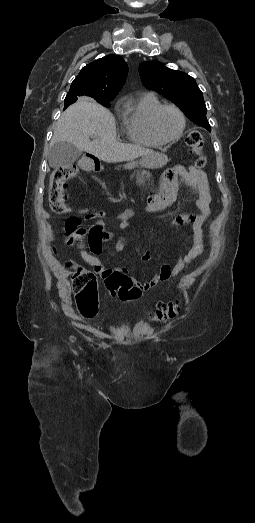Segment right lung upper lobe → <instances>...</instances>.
I'll return each instance as SVG.
<instances>
[{
	"mask_svg": "<svg viewBox=\"0 0 255 523\" xmlns=\"http://www.w3.org/2000/svg\"><path fill=\"white\" fill-rule=\"evenodd\" d=\"M128 74L124 59L107 55L82 68L65 98L66 109L80 98L89 101L113 100L123 87Z\"/></svg>",
	"mask_w": 255,
	"mask_h": 523,
	"instance_id": "right-lung-upper-lobe-1",
	"label": "right lung upper lobe"
}]
</instances>
